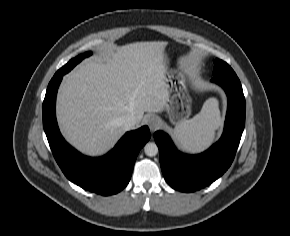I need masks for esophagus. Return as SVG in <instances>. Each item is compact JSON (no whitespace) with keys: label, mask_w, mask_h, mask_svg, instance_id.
I'll list each match as a JSON object with an SVG mask.
<instances>
[{"label":"esophagus","mask_w":290,"mask_h":236,"mask_svg":"<svg viewBox=\"0 0 290 236\" xmlns=\"http://www.w3.org/2000/svg\"><path fill=\"white\" fill-rule=\"evenodd\" d=\"M146 123L152 132L156 131L160 125V118L155 115H151L146 118Z\"/></svg>","instance_id":"esophagus-1"}]
</instances>
